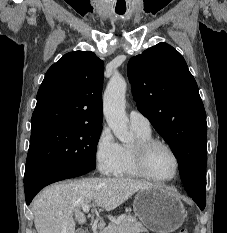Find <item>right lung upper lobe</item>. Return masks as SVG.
Segmentation results:
<instances>
[{"instance_id":"right-lung-upper-lobe-1","label":"right lung upper lobe","mask_w":227,"mask_h":233,"mask_svg":"<svg viewBox=\"0 0 227 233\" xmlns=\"http://www.w3.org/2000/svg\"><path fill=\"white\" fill-rule=\"evenodd\" d=\"M104 63L93 52L65 54L47 71L37 93L31 134L64 125L103 121Z\"/></svg>"}]
</instances>
